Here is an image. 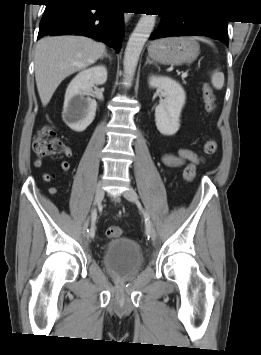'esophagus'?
Wrapping results in <instances>:
<instances>
[{
  "mask_svg": "<svg viewBox=\"0 0 261 355\" xmlns=\"http://www.w3.org/2000/svg\"><path fill=\"white\" fill-rule=\"evenodd\" d=\"M131 19V14L130 13H124V21L127 23Z\"/></svg>",
  "mask_w": 261,
  "mask_h": 355,
  "instance_id": "1",
  "label": "esophagus"
}]
</instances>
